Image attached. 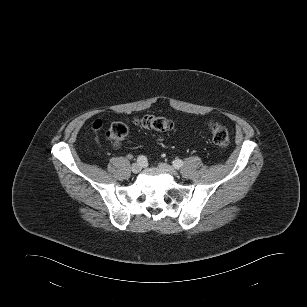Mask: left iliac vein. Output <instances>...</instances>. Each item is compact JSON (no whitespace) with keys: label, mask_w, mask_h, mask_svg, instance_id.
Returning <instances> with one entry per match:
<instances>
[{"label":"left iliac vein","mask_w":307,"mask_h":307,"mask_svg":"<svg viewBox=\"0 0 307 307\" xmlns=\"http://www.w3.org/2000/svg\"><path fill=\"white\" fill-rule=\"evenodd\" d=\"M159 168L162 169L163 171L169 173L172 176H177V171L170 165L166 163H159Z\"/></svg>","instance_id":"obj_1"}]
</instances>
